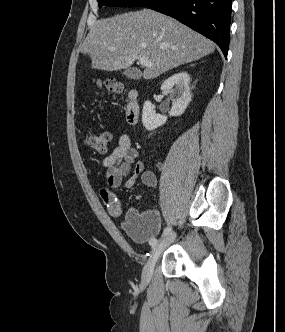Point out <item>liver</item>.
I'll use <instances>...</instances> for the list:
<instances>
[{
    "mask_svg": "<svg viewBox=\"0 0 285 332\" xmlns=\"http://www.w3.org/2000/svg\"><path fill=\"white\" fill-rule=\"evenodd\" d=\"M110 48H114L111 51ZM215 44L179 21L143 9L95 21L80 46L89 55L92 68L117 71L147 58L151 67L145 79L161 74L214 52Z\"/></svg>",
    "mask_w": 285,
    "mask_h": 332,
    "instance_id": "liver-1",
    "label": "liver"
}]
</instances>
